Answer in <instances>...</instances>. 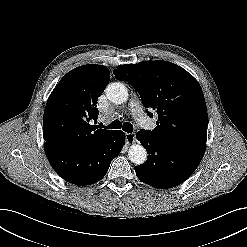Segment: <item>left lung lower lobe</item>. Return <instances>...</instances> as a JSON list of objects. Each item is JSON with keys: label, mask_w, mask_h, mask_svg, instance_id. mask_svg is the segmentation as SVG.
I'll list each match as a JSON object with an SVG mask.
<instances>
[{"label": "left lung lower lobe", "mask_w": 247, "mask_h": 247, "mask_svg": "<svg viewBox=\"0 0 247 247\" xmlns=\"http://www.w3.org/2000/svg\"><path fill=\"white\" fill-rule=\"evenodd\" d=\"M136 138L147 152L148 160L135 167L137 177L158 189L178 186L196 170L204 153L162 143L149 134L137 132Z\"/></svg>", "instance_id": "0a47b994"}]
</instances>
